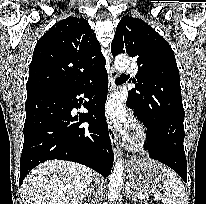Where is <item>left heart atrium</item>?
<instances>
[{"mask_svg":"<svg viewBox=\"0 0 206 204\" xmlns=\"http://www.w3.org/2000/svg\"><path fill=\"white\" fill-rule=\"evenodd\" d=\"M107 116L120 127H128L130 119L126 115L122 104L117 99H112L106 107Z\"/></svg>","mask_w":206,"mask_h":204,"instance_id":"1","label":"left heart atrium"}]
</instances>
